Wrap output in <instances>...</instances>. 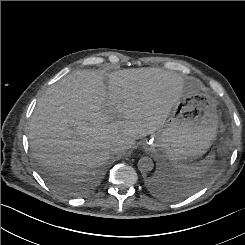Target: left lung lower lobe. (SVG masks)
Masks as SVG:
<instances>
[{
	"mask_svg": "<svg viewBox=\"0 0 245 245\" xmlns=\"http://www.w3.org/2000/svg\"><path fill=\"white\" fill-rule=\"evenodd\" d=\"M149 189L162 197L177 199L185 196L188 187L185 183L171 180L166 175L159 174L148 180Z\"/></svg>",
	"mask_w": 245,
	"mask_h": 245,
	"instance_id": "0a47b994",
	"label": "left lung lower lobe"
}]
</instances>
